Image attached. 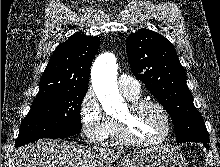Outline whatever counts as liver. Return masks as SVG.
<instances>
[{
    "mask_svg": "<svg viewBox=\"0 0 220 167\" xmlns=\"http://www.w3.org/2000/svg\"><path fill=\"white\" fill-rule=\"evenodd\" d=\"M122 150L41 139L15 150V167H112Z\"/></svg>",
    "mask_w": 220,
    "mask_h": 167,
    "instance_id": "liver-1",
    "label": "liver"
}]
</instances>
